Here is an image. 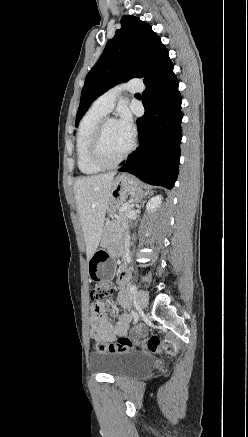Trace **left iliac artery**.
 <instances>
[{"label":"left iliac artery","instance_id":"1","mask_svg":"<svg viewBox=\"0 0 248 437\" xmlns=\"http://www.w3.org/2000/svg\"><path fill=\"white\" fill-rule=\"evenodd\" d=\"M129 291L131 292V293H133V294H135L136 292H137V288H136V286L135 285H131L130 287H129ZM137 321V317H136V315H135V322Z\"/></svg>","mask_w":248,"mask_h":437}]
</instances>
